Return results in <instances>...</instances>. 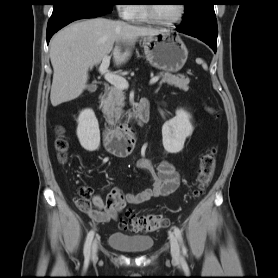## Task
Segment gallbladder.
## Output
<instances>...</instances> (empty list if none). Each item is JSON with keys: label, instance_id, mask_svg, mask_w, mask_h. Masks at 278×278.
<instances>
[{"label": "gallbladder", "instance_id": "obj_1", "mask_svg": "<svg viewBox=\"0 0 278 278\" xmlns=\"http://www.w3.org/2000/svg\"><path fill=\"white\" fill-rule=\"evenodd\" d=\"M87 89L89 90V91H93L94 89H95V85H89L88 87H87Z\"/></svg>", "mask_w": 278, "mask_h": 278}]
</instances>
